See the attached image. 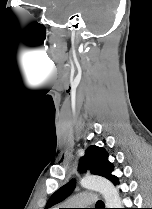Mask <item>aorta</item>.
Here are the masks:
<instances>
[{"mask_svg": "<svg viewBox=\"0 0 152 209\" xmlns=\"http://www.w3.org/2000/svg\"><path fill=\"white\" fill-rule=\"evenodd\" d=\"M80 185L83 188L100 192L108 208H120L121 200L114 185L105 178L99 176H85L81 179Z\"/></svg>", "mask_w": 152, "mask_h": 209, "instance_id": "obj_1", "label": "aorta"}]
</instances>
